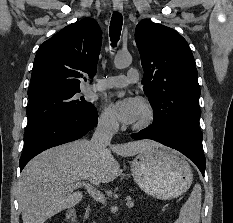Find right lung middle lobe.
Returning <instances> with one entry per match:
<instances>
[{
  "instance_id": "right-lung-middle-lobe-1",
  "label": "right lung middle lobe",
  "mask_w": 233,
  "mask_h": 223,
  "mask_svg": "<svg viewBox=\"0 0 233 223\" xmlns=\"http://www.w3.org/2000/svg\"><path fill=\"white\" fill-rule=\"evenodd\" d=\"M79 92L80 87H55L28 94L26 134L55 120L92 107L91 102L77 95Z\"/></svg>"
}]
</instances>
